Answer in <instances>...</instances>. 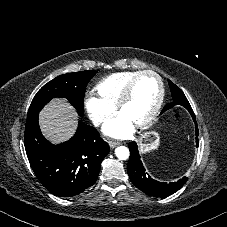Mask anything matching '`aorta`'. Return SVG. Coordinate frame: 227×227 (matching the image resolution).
Instances as JSON below:
<instances>
[{"instance_id": "1", "label": "aorta", "mask_w": 227, "mask_h": 227, "mask_svg": "<svg viewBox=\"0 0 227 227\" xmlns=\"http://www.w3.org/2000/svg\"><path fill=\"white\" fill-rule=\"evenodd\" d=\"M115 155L120 160H126L129 158L130 152L129 149L125 146H119L115 149Z\"/></svg>"}]
</instances>
